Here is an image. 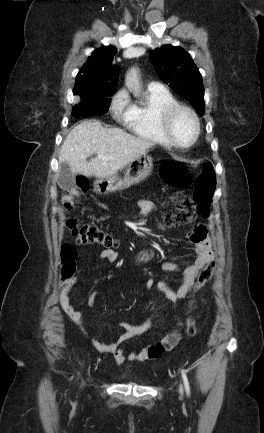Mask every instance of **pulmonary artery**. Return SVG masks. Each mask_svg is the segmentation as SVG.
Instances as JSON below:
<instances>
[{"label": "pulmonary artery", "instance_id": "e3ab8cb5", "mask_svg": "<svg viewBox=\"0 0 264 433\" xmlns=\"http://www.w3.org/2000/svg\"><path fill=\"white\" fill-rule=\"evenodd\" d=\"M148 88L151 90H158V91L165 89L163 84L161 82H158V81H151L148 84Z\"/></svg>", "mask_w": 264, "mask_h": 433}]
</instances>
